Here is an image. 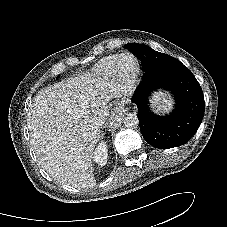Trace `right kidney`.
Masks as SVG:
<instances>
[{
	"label": "right kidney",
	"mask_w": 227,
	"mask_h": 227,
	"mask_svg": "<svg viewBox=\"0 0 227 227\" xmlns=\"http://www.w3.org/2000/svg\"><path fill=\"white\" fill-rule=\"evenodd\" d=\"M107 144L106 142H101L98 144L96 149L94 150L93 160L99 165L104 166L107 163Z\"/></svg>",
	"instance_id": "obj_1"
}]
</instances>
